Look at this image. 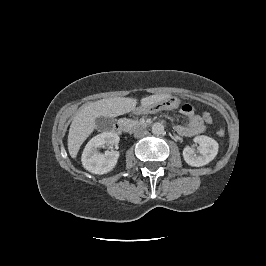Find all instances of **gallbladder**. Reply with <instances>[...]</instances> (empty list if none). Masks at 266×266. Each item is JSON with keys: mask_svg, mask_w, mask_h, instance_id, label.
<instances>
[{"mask_svg": "<svg viewBox=\"0 0 266 266\" xmlns=\"http://www.w3.org/2000/svg\"><path fill=\"white\" fill-rule=\"evenodd\" d=\"M113 120L108 117L99 116L96 118V128L100 130L111 129Z\"/></svg>", "mask_w": 266, "mask_h": 266, "instance_id": "obj_1", "label": "gallbladder"}]
</instances>
